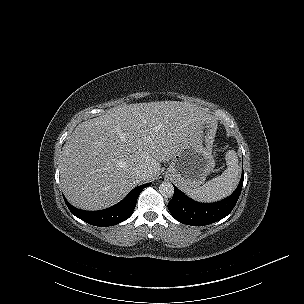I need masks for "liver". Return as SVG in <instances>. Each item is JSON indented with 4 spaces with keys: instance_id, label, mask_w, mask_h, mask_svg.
<instances>
[{
    "instance_id": "6515ba94",
    "label": "liver",
    "mask_w": 304,
    "mask_h": 304,
    "mask_svg": "<svg viewBox=\"0 0 304 304\" xmlns=\"http://www.w3.org/2000/svg\"><path fill=\"white\" fill-rule=\"evenodd\" d=\"M211 116L199 106L157 101L114 107L80 123L67 138L60 160V181L67 200L84 210H100L123 199L141 184L136 169L151 181L183 149ZM207 142H213L209 125Z\"/></svg>"
}]
</instances>
